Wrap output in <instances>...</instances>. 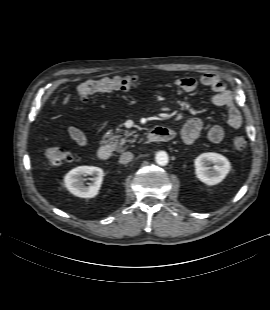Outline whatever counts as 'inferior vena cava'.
<instances>
[{"label": "inferior vena cava", "instance_id": "1", "mask_svg": "<svg viewBox=\"0 0 270 310\" xmlns=\"http://www.w3.org/2000/svg\"><path fill=\"white\" fill-rule=\"evenodd\" d=\"M133 154L131 152H124L121 154L119 162L121 164H127L133 159Z\"/></svg>", "mask_w": 270, "mask_h": 310}]
</instances>
